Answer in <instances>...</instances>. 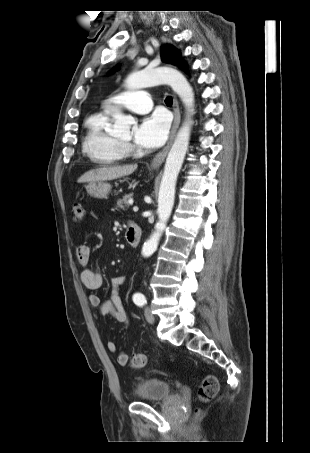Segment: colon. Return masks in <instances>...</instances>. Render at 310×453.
Returning a JSON list of instances; mask_svg holds the SVG:
<instances>
[{"mask_svg":"<svg viewBox=\"0 0 310 453\" xmlns=\"http://www.w3.org/2000/svg\"><path fill=\"white\" fill-rule=\"evenodd\" d=\"M73 217L76 221H81L85 217V210L81 203H75L73 206ZM147 358L144 353H137L132 359L133 368H141L146 365ZM219 389L218 380L213 375L205 376L198 389V397L202 402H208L213 399Z\"/></svg>","mask_w":310,"mask_h":453,"instance_id":"obj_1","label":"colon"}]
</instances>
